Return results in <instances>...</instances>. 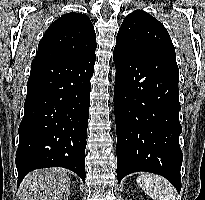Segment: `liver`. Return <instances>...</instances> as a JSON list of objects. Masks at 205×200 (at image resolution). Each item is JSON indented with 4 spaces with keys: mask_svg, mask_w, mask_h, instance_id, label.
<instances>
[{
    "mask_svg": "<svg viewBox=\"0 0 205 200\" xmlns=\"http://www.w3.org/2000/svg\"><path fill=\"white\" fill-rule=\"evenodd\" d=\"M70 178L62 168L35 170L23 179L19 193L21 200H68Z\"/></svg>",
    "mask_w": 205,
    "mask_h": 200,
    "instance_id": "obj_1",
    "label": "liver"
}]
</instances>
